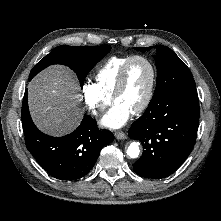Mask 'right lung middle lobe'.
I'll return each mask as SVG.
<instances>
[{"label": "right lung middle lobe", "instance_id": "1", "mask_svg": "<svg viewBox=\"0 0 221 221\" xmlns=\"http://www.w3.org/2000/svg\"><path fill=\"white\" fill-rule=\"evenodd\" d=\"M111 50L109 45L102 46H68L56 47L41 59L32 69L29 79L52 64L69 66L78 76L81 86L90 70Z\"/></svg>", "mask_w": 221, "mask_h": 221}]
</instances>
